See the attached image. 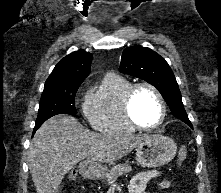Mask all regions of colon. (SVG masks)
I'll list each match as a JSON object with an SVG mask.
<instances>
[{
    "mask_svg": "<svg viewBox=\"0 0 221 193\" xmlns=\"http://www.w3.org/2000/svg\"><path fill=\"white\" fill-rule=\"evenodd\" d=\"M186 155H187L186 147H181V149L179 151V154H178V157H177L178 164H181L185 160ZM74 177H75V175L72 174V178H74Z\"/></svg>",
    "mask_w": 221,
    "mask_h": 193,
    "instance_id": "colon-1",
    "label": "colon"
}]
</instances>
